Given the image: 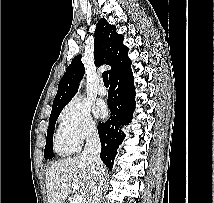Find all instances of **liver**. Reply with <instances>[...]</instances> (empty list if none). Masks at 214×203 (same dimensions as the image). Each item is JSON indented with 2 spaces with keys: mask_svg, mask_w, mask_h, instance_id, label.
<instances>
[{
  "mask_svg": "<svg viewBox=\"0 0 214 203\" xmlns=\"http://www.w3.org/2000/svg\"><path fill=\"white\" fill-rule=\"evenodd\" d=\"M90 166L82 155L53 163L46 172L48 203H65L72 192L71 184L79 186L78 192L85 203L90 187Z\"/></svg>",
  "mask_w": 214,
  "mask_h": 203,
  "instance_id": "6515ba94",
  "label": "liver"
}]
</instances>
